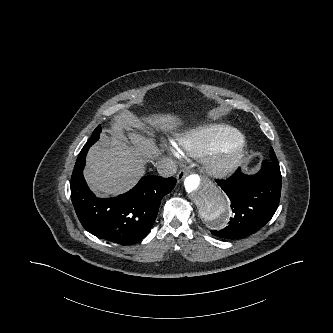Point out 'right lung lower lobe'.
I'll use <instances>...</instances> for the list:
<instances>
[{"label":"right lung lower lobe","mask_w":333,"mask_h":333,"mask_svg":"<svg viewBox=\"0 0 333 333\" xmlns=\"http://www.w3.org/2000/svg\"><path fill=\"white\" fill-rule=\"evenodd\" d=\"M93 144V141L85 144L72 173L71 200L76 214L91 234L118 244H135L150 232L161 199L172 191L176 179L147 176L116 198H97L83 177L85 158Z\"/></svg>","instance_id":"obj_1"}]
</instances>
